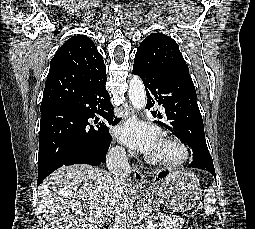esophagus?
<instances>
[{
  "mask_svg": "<svg viewBox=\"0 0 255 229\" xmlns=\"http://www.w3.org/2000/svg\"><path fill=\"white\" fill-rule=\"evenodd\" d=\"M134 114H135V110L132 107H128L127 110H126V113H125V119L130 118ZM132 173H133V178L137 182H140V183H145L146 182V178H145L144 174L137 167L133 166Z\"/></svg>",
  "mask_w": 255,
  "mask_h": 229,
  "instance_id": "1",
  "label": "esophagus"
}]
</instances>
